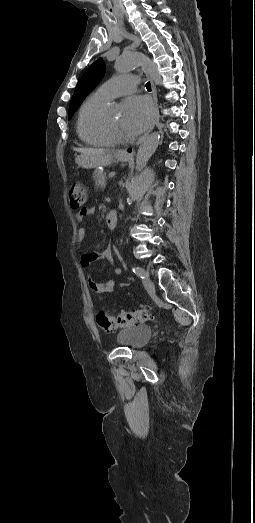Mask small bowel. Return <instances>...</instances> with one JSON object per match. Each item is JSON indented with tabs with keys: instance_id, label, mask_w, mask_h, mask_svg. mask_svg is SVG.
<instances>
[{
	"instance_id": "1",
	"label": "small bowel",
	"mask_w": 255,
	"mask_h": 523,
	"mask_svg": "<svg viewBox=\"0 0 255 523\" xmlns=\"http://www.w3.org/2000/svg\"><path fill=\"white\" fill-rule=\"evenodd\" d=\"M94 212L93 208L91 207H84L80 209L76 214V220L78 222H82L87 216L92 215ZM87 230L85 227H80L77 231V244H76V250L79 254V261L83 268H89L93 261L104 259L107 262L113 264L114 263V257L112 254V250L110 246H108L103 253H90L86 252L83 249V244L86 238ZM121 274L120 268L114 269V275L119 276ZM88 284L92 290H94L97 293L105 294L109 293L113 290L115 286V280L109 279L108 281L104 283H98L96 282L91 276L88 278Z\"/></svg>"
}]
</instances>
